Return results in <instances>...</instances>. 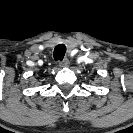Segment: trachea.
<instances>
[{"mask_svg": "<svg viewBox=\"0 0 133 133\" xmlns=\"http://www.w3.org/2000/svg\"><path fill=\"white\" fill-rule=\"evenodd\" d=\"M65 52H66V46L64 44L57 45L54 49V54H53L55 61L63 60Z\"/></svg>", "mask_w": 133, "mask_h": 133, "instance_id": "1", "label": "trachea"}]
</instances>
